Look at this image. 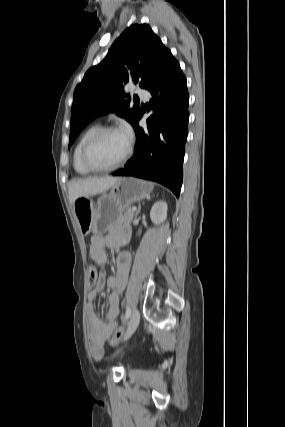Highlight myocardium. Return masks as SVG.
<instances>
[{
    "mask_svg": "<svg viewBox=\"0 0 285 427\" xmlns=\"http://www.w3.org/2000/svg\"><path fill=\"white\" fill-rule=\"evenodd\" d=\"M120 131L116 126H105L98 129L84 144L81 152V160L85 167L93 172H105L114 170L123 165L132 155L133 143L129 141V145L125 154L115 163L107 166H100L93 162L91 151L95 144L107 133Z\"/></svg>",
    "mask_w": 285,
    "mask_h": 427,
    "instance_id": "obj_1",
    "label": "myocardium"
}]
</instances>
